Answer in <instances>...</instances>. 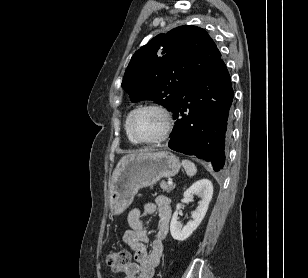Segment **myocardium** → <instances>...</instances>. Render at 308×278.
Segmentation results:
<instances>
[{
	"instance_id": "f54148a6",
	"label": "myocardium",
	"mask_w": 308,
	"mask_h": 278,
	"mask_svg": "<svg viewBox=\"0 0 308 278\" xmlns=\"http://www.w3.org/2000/svg\"><path fill=\"white\" fill-rule=\"evenodd\" d=\"M143 109H154L159 111L164 119H165V128L164 131L162 132V134L154 139H142L140 137H138L133 129H132V119L133 116L140 110ZM126 127H127V131L129 133V135L137 142L140 144H157V143H161L163 141H165L168 136L170 135L172 129H173V119L171 116V113L169 112V110L167 108H165L164 106L157 104V103H146V104H142L139 105L138 107H136L135 109H133L128 117H127V121H126Z\"/></svg>"
}]
</instances>
